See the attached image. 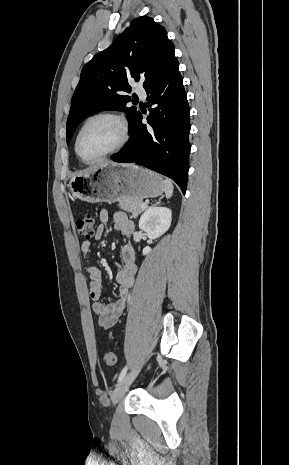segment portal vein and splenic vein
<instances>
[{"label":"portal vein and splenic vein","instance_id":"18ae733b","mask_svg":"<svg viewBox=\"0 0 289 465\" xmlns=\"http://www.w3.org/2000/svg\"><path fill=\"white\" fill-rule=\"evenodd\" d=\"M142 207H143V208H146V207H147V204H146V203H143V204H142Z\"/></svg>","mask_w":289,"mask_h":465}]
</instances>
